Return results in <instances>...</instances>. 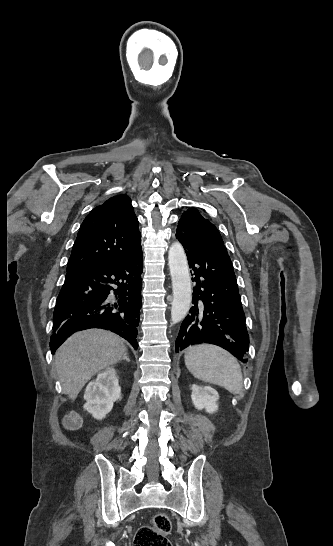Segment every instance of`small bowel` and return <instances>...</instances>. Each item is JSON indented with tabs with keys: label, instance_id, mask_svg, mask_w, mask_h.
Returning a JSON list of instances; mask_svg holds the SVG:
<instances>
[{
	"label": "small bowel",
	"instance_id": "c3829d8e",
	"mask_svg": "<svg viewBox=\"0 0 333 546\" xmlns=\"http://www.w3.org/2000/svg\"><path fill=\"white\" fill-rule=\"evenodd\" d=\"M78 422V419L76 417H67L66 418V424L68 426V428L72 429Z\"/></svg>",
	"mask_w": 333,
	"mask_h": 546
}]
</instances>
